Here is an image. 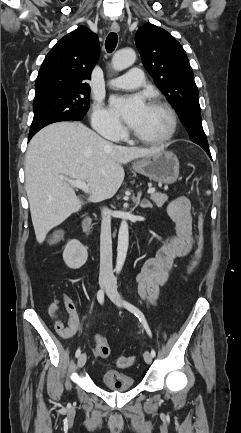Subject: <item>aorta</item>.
<instances>
[{"mask_svg": "<svg viewBox=\"0 0 241 433\" xmlns=\"http://www.w3.org/2000/svg\"><path fill=\"white\" fill-rule=\"evenodd\" d=\"M136 60V53L132 49L117 51L112 58V66L121 71L131 66ZM129 244V230L126 220L121 222L118 233L117 258L115 271L119 273L124 265Z\"/></svg>", "mask_w": 241, "mask_h": 433, "instance_id": "aorta-1", "label": "aorta"}]
</instances>
